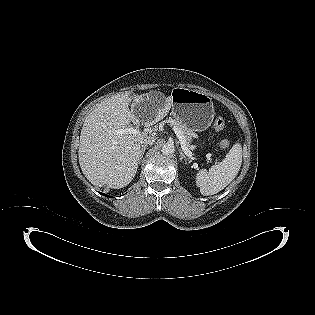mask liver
Returning <instances> with one entry per match:
<instances>
[{
    "instance_id": "1",
    "label": "liver",
    "mask_w": 315,
    "mask_h": 315,
    "mask_svg": "<svg viewBox=\"0 0 315 315\" xmlns=\"http://www.w3.org/2000/svg\"><path fill=\"white\" fill-rule=\"evenodd\" d=\"M133 105L148 100V95L117 94L98 104L86 117L78 150L79 164L85 177L99 187L120 189L135 177L140 158L142 133L117 134L126 129L130 122L139 123V118L129 110ZM171 108V97L166 98L162 107L156 109L150 126L162 120Z\"/></svg>"
}]
</instances>
